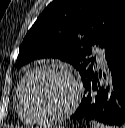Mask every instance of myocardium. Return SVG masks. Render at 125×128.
<instances>
[{
    "label": "myocardium",
    "mask_w": 125,
    "mask_h": 128,
    "mask_svg": "<svg viewBox=\"0 0 125 128\" xmlns=\"http://www.w3.org/2000/svg\"><path fill=\"white\" fill-rule=\"evenodd\" d=\"M45 71L58 72L60 74L65 75L71 81L74 87L73 100L64 110L58 113L46 114V113L38 112L31 106L29 102L27 89L30 80L36 74ZM21 91H22V102L25 107V110L35 121L40 123H54L69 116L76 109L82 97V86L79 83V81L76 79V77L73 75V73L68 68L56 64H43L30 70L23 79Z\"/></svg>",
    "instance_id": "myocardium-1"
}]
</instances>
